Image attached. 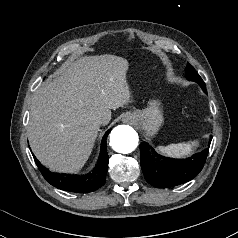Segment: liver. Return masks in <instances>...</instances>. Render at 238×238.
I'll list each match as a JSON object with an SVG mask.
<instances>
[{"instance_id": "obj_1", "label": "liver", "mask_w": 238, "mask_h": 238, "mask_svg": "<svg viewBox=\"0 0 238 238\" xmlns=\"http://www.w3.org/2000/svg\"><path fill=\"white\" fill-rule=\"evenodd\" d=\"M128 69L122 57L85 56L67 63L53 81L35 91L27 134L44 166L63 173L81 170L99 132L97 121L108 123L111 109L131 102Z\"/></svg>"}]
</instances>
